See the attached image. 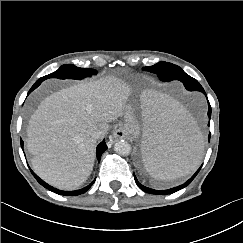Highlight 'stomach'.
<instances>
[{"label": "stomach", "instance_id": "obj_1", "mask_svg": "<svg viewBox=\"0 0 243 243\" xmlns=\"http://www.w3.org/2000/svg\"><path fill=\"white\" fill-rule=\"evenodd\" d=\"M139 127V123L133 117L130 108L128 107L125 112V121L122 124L124 134L128 137L137 138L139 136Z\"/></svg>", "mask_w": 243, "mask_h": 243}]
</instances>
